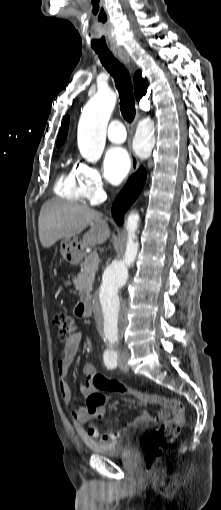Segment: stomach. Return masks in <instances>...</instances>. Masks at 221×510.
<instances>
[{
    "instance_id": "1",
    "label": "stomach",
    "mask_w": 221,
    "mask_h": 510,
    "mask_svg": "<svg viewBox=\"0 0 221 510\" xmlns=\"http://www.w3.org/2000/svg\"><path fill=\"white\" fill-rule=\"evenodd\" d=\"M60 252L67 261H78L82 257L81 242L77 237L64 238L61 242Z\"/></svg>"
}]
</instances>
